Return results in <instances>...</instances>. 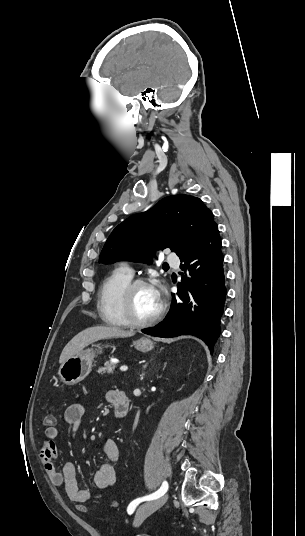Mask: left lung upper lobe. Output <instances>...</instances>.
<instances>
[{"label":"left lung upper lobe","instance_id":"1","mask_svg":"<svg viewBox=\"0 0 305 536\" xmlns=\"http://www.w3.org/2000/svg\"><path fill=\"white\" fill-rule=\"evenodd\" d=\"M217 224L203 202L189 195L169 196L150 210L134 214L110 234L99 257L152 263L155 250L170 248L179 258L193 251Z\"/></svg>","mask_w":305,"mask_h":536}]
</instances>
